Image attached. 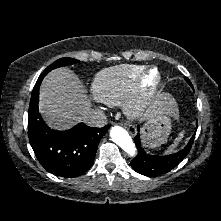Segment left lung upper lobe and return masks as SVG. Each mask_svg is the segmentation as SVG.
<instances>
[{"label": "left lung upper lobe", "mask_w": 221, "mask_h": 221, "mask_svg": "<svg viewBox=\"0 0 221 221\" xmlns=\"http://www.w3.org/2000/svg\"><path fill=\"white\" fill-rule=\"evenodd\" d=\"M186 81L192 86L191 82L186 78Z\"/></svg>", "instance_id": "1"}]
</instances>
